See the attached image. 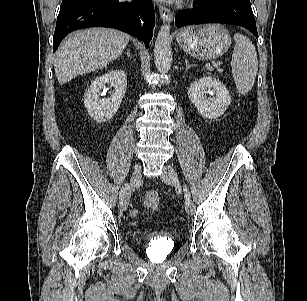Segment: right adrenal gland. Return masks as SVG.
I'll use <instances>...</instances> for the list:
<instances>
[{
	"label": "right adrenal gland",
	"mask_w": 307,
	"mask_h": 301,
	"mask_svg": "<svg viewBox=\"0 0 307 301\" xmlns=\"http://www.w3.org/2000/svg\"><path fill=\"white\" fill-rule=\"evenodd\" d=\"M125 53L128 57L132 58L131 53H130V48H128Z\"/></svg>",
	"instance_id": "2a0ac1e0"
}]
</instances>
